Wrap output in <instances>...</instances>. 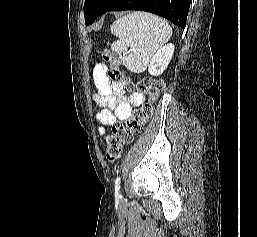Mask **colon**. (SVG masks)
<instances>
[{"instance_id":"colon-1","label":"colon","mask_w":257,"mask_h":237,"mask_svg":"<svg viewBox=\"0 0 257 237\" xmlns=\"http://www.w3.org/2000/svg\"><path fill=\"white\" fill-rule=\"evenodd\" d=\"M103 57L106 61H112L106 73L113 84L123 85L127 90L137 88L148 95V100L136 109L129 118L116 122L112 126V133L107 137L106 157L109 162H115L121 158L123 146L130 144L152 118L156 100L163 92L165 83L162 80L149 77L139 80L136 84L127 82L124 72L120 65L113 60L112 54L105 52Z\"/></svg>"}]
</instances>
